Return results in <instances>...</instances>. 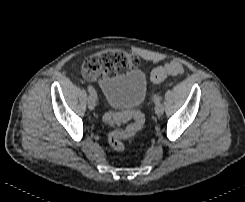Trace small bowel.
<instances>
[{
  "label": "small bowel",
  "mask_w": 245,
  "mask_h": 202,
  "mask_svg": "<svg viewBox=\"0 0 245 202\" xmlns=\"http://www.w3.org/2000/svg\"><path fill=\"white\" fill-rule=\"evenodd\" d=\"M153 72H154V71H152L151 74H150V81H151L152 83H154V84L160 83L161 81L157 80V79L154 77Z\"/></svg>",
  "instance_id": "small-bowel-1"
}]
</instances>
